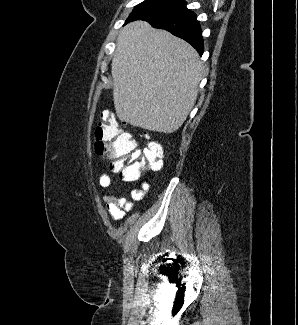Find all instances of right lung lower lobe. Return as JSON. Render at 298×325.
<instances>
[{
    "mask_svg": "<svg viewBox=\"0 0 298 325\" xmlns=\"http://www.w3.org/2000/svg\"><path fill=\"white\" fill-rule=\"evenodd\" d=\"M133 20H127V22ZM153 27L165 29L190 43L200 55L203 54L204 45L201 36V27L196 15L186 7L160 17L147 19Z\"/></svg>",
    "mask_w": 298,
    "mask_h": 325,
    "instance_id": "1",
    "label": "right lung lower lobe"
}]
</instances>
